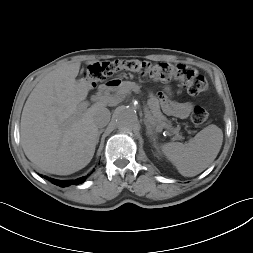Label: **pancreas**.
<instances>
[{
	"mask_svg": "<svg viewBox=\"0 0 253 253\" xmlns=\"http://www.w3.org/2000/svg\"><path fill=\"white\" fill-rule=\"evenodd\" d=\"M138 89V87L132 82H124L121 86H119L114 94L113 98L115 101H122L128 94L131 93L132 89ZM150 98L147 101L148 108L150 109V113L153 114L154 121L161 128H171V123L166 119V117L161 113L159 100L154 96L150 95ZM178 129H174L173 131H177Z\"/></svg>",
	"mask_w": 253,
	"mask_h": 253,
	"instance_id": "1",
	"label": "pancreas"
}]
</instances>
